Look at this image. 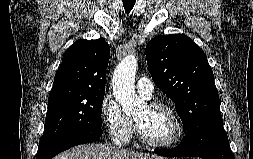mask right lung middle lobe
<instances>
[{"instance_id": "obj_1", "label": "right lung middle lobe", "mask_w": 253, "mask_h": 159, "mask_svg": "<svg viewBox=\"0 0 253 159\" xmlns=\"http://www.w3.org/2000/svg\"><path fill=\"white\" fill-rule=\"evenodd\" d=\"M105 91H89L48 98L45 131L38 151L70 133L101 130V106Z\"/></svg>"}]
</instances>
